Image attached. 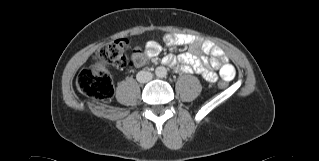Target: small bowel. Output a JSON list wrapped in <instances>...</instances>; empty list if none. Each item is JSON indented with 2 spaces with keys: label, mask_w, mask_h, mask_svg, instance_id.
I'll return each mask as SVG.
<instances>
[{
  "label": "small bowel",
  "mask_w": 319,
  "mask_h": 161,
  "mask_svg": "<svg viewBox=\"0 0 319 161\" xmlns=\"http://www.w3.org/2000/svg\"><path fill=\"white\" fill-rule=\"evenodd\" d=\"M165 42L170 46L187 45L190 48L189 52L182 53L177 57H168L166 63L176 71L189 73L194 71L200 74L205 80L214 82L216 80V73L209 69L206 65V60L201 57L203 54H211L210 66L213 69H218L220 76L224 80H231L235 75V68L230 64L223 52V50L213 45L210 41H204L196 36L177 33L166 34ZM147 52L150 56H155L158 52V43L155 40L147 41L145 44ZM178 62L182 63L178 66Z\"/></svg>",
  "instance_id": "small-bowel-1"
}]
</instances>
